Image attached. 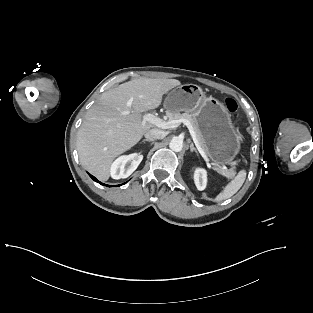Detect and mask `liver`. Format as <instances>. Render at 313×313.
<instances>
[{"instance_id":"1","label":"liver","mask_w":313,"mask_h":313,"mask_svg":"<svg viewBox=\"0 0 313 313\" xmlns=\"http://www.w3.org/2000/svg\"><path fill=\"white\" fill-rule=\"evenodd\" d=\"M180 84L176 79L139 78L103 93L78 130L82 166L107 181L113 160L155 128L143 120V113L159 107L162 96Z\"/></svg>"}]
</instances>
